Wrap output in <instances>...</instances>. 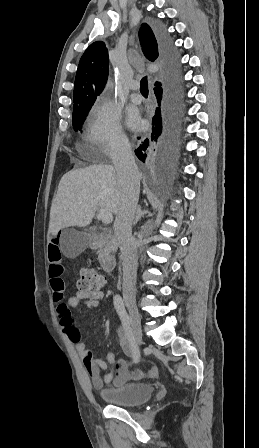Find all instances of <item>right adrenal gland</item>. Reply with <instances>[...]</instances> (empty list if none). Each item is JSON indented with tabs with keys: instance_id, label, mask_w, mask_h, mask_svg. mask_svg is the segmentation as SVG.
I'll return each mask as SVG.
<instances>
[{
	"instance_id": "2a0ac1e0",
	"label": "right adrenal gland",
	"mask_w": 259,
	"mask_h": 448,
	"mask_svg": "<svg viewBox=\"0 0 259 448\" xmlns=\"http://www.w3.org/2000/svg\"><path fill=\"white\" fill-rule=\"evenodd\" d=\"M144 214H149V212H147V210H141V206H138L134 224H137V222H139V220H141V218H142V216H144Z\"/></svg>"
}]
</instances>
